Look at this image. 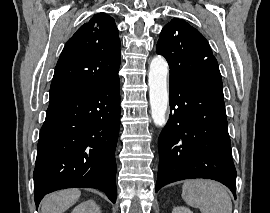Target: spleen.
Here are the masks:
<instances>
[{"label": "spleen", "mask_w": 270, "mask_h": 213, "mask_svg": "<svg viewBox=\"0 0 270 213\" xmlns=\"http://www.w3.org/2000/svg\"><path fill=\"white\" fill-rule=\"evenodd\" d=\"M182 198L201 213H232V201L226 188L213 180H186Z\"/></svg>", "instance_id": "1"}]
</instances>
